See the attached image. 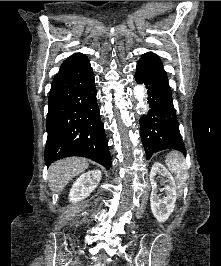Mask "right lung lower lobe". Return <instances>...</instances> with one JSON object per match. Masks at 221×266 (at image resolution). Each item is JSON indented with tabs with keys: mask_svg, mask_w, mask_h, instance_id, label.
I'll list each match as a JSON object with an SVG mask.
<instances>
[{
	"mask_svg": "<svg viewBox=\"0 0 221 266\" xmlns=\"http://www.w3.org/2000/svg\"><path fill=\"white\" fill-rule=\"evenodd\" d=\"M45 163L82 156L109 168L110 152L96 100L89 59L58 72L48 100Z\"/></svg>",
	"mask_w": 221,
	"mask_h": 266,
	"instance_id": "right-lung-lower-lobe-1",
	"label": "right lung lower lobe"
}]
</instances>
